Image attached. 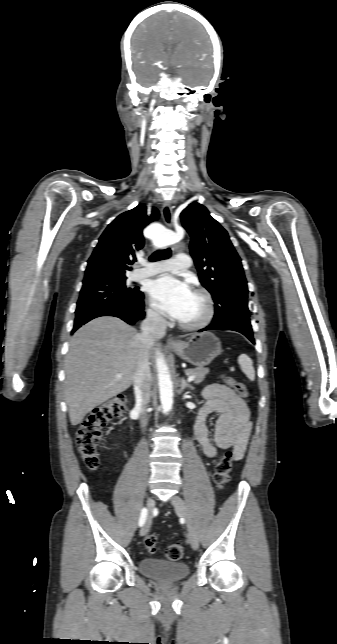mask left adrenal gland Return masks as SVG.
<instances>
[{"label":"left adrenal gland","instance_id":"1","mask_svg":"<svg viewBox=\"0 0 337 644\" xmlns=\"http://www.w3.org/2000/svg\"><path fill=\"white\" fill-rule=\"evenodd\" d=\"M185 388H189L191 390L194 389V387L191 384H189L188 382H186V380L184 378H181L180 379V390L183 391Z\"/></svg>","mask_w":337,"mask_h":644}]
</instances>
